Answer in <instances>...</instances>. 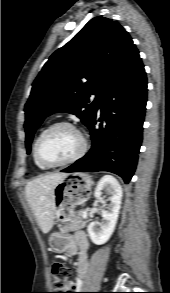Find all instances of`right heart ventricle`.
<instances>
[{"label":"right heart ventricle","mask_w":170,"mask_h":293,"mask_svg":"<svg viewBox=\"0 0 170 293\" xmlns=\"http://www.w3.org/2000/svg\"><path fill=\"white\" fill-rule=\"evenodd\" d=\"M41 133H42V132H41ZM41 133H40V134H41ZM40 134H39V135H40ZM38 137H39V136H38ZM38 137H37V139H38ZM37 139L35 140V142H34V144H33V155H34V148H35V143H36ZM34 160H35L36 165H37L39 168H41V169H46V167L41 166V165L36 161L35 157H34Z\"/></svg>","instance_id":"right-heart-ventricle-1"}]
</instances>
